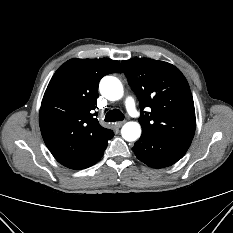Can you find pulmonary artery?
<instances>
[{"label": "pulmonary artery", "mask_w": 233, "mask_h": 233, "mask_svg": "<svg viewBox=\"0 0 233 233\" xmlns=\"http://www.w3.org/2000/svg\"><path fill=\"white\" fill-rule=\"evenodd\" d=\"M124 105L131 116L133 117L139 116V113L135 106L134 99L132 97H127L124 101Z\"/></svg>", "instance_id": "1"}]
</instances>
